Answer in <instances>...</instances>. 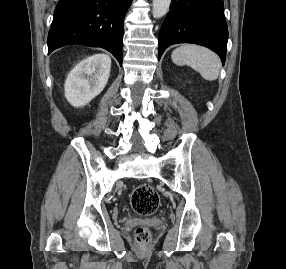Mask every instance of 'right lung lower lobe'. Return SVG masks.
<instances>
[{
    "mask_svg": "<svg viewBox=\"0 0 286 269\" xmlns=\"http://www.w3.org/2000/svg\"><path fill=\"white\" fill-rule=\"evenodd\" d=\"M132 0H59L48 53L68 44L102 47L122 64L123 21Z\"/></svg>",
    "mask_w": 286,
    "mask_h": 269,
    "instance_id": "98d812e1",
    "label": "right lung lower lobe"
}]
</instances>
